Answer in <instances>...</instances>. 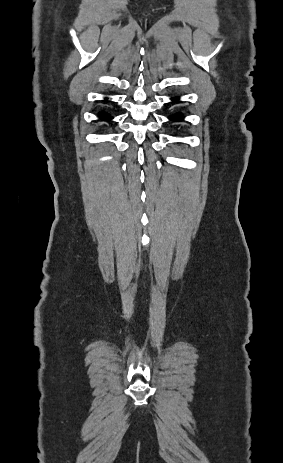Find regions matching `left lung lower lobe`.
Listing matches in <instances>:
<instances>
[{"mask_svg":"<svg viewBox=\"0 0 283 463\" xmlns=\"http://www.w3.org/2000/svg\"><path fill=\"white\" fill-rule=\"evenodd\" d=\"M172 100H178V98H173ZM170 119H174L175 121H179L181 119H183V115L182 113H177L172 117H169Z\"/></svg>","mask_w":283,"mask_h":463,"instance_id":"1","label":"left lung lower lobe"}]
</instances>
